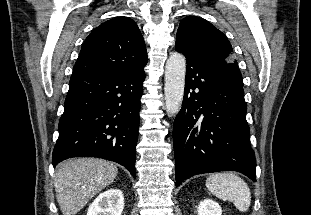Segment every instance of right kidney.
<instances>
[{"label": "right kidney", "instance_id": "1", "mask_svg": "<svg viewBox=\"0 0 311 215\" xmlns=\"http://www.w3.org/2000/svg\"><path fill=\"white\" fill-rule=\"evenodd\" d=\"M124 208L123 193L109 189L101 193L89 206L87 215H121Z\"/></svg>", "mask_w": 311, "mask_h": 215}]
</instances>
